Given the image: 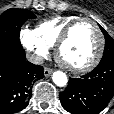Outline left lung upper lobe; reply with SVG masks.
I'll list each match as a JSON object with an SVG mask.
<instances>
[{"label":"left lung upper lobe","instance_id":"5c2ea615","mask_svg":"<svg viewBox=\"0 0 114 114\" xmlns=\"http://www.w3.org/2000/svg\"><path fill=\"white\" fill-rule=\"evenodd\" d=\"M104 36H105V48L104 54L101 62L114 61V39H112L109 34L100 26Z\"/></svg>","mask_w":114,"mask_h":114}]
</instances>
